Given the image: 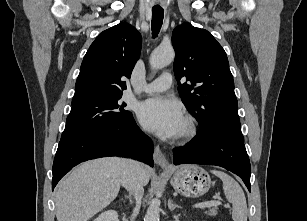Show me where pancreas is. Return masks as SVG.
<instances>
[{
	"label": "pancreas",
	"instance_id": "1",
	"mask_svg": "<svg viewBox=\"0 0 307 221\" xmlns=\"http://www.w3.org/2000/svg\"><path fill=\"white\" fill-rule=\"evenodd\" d=\"M205 213L210 215V216H216L218 211H217V208H211L210 210L206 211Z\"/></svg>",
	"mask_w": 307,
	"mask_h": 221
}]
</instances>
